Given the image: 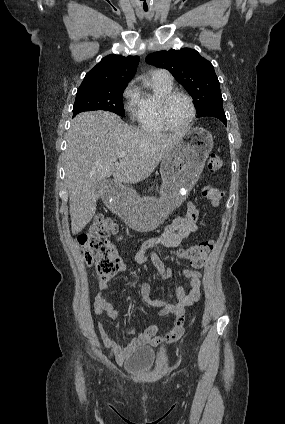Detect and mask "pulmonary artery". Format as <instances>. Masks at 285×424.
<instances>
[{"label":"pulmonary artery","instance_id":"pulmonary-artery-1","mask_svg":"<svg viewBox=\"0 0 285 424\" xmlns=\"http://www.w3.org/2000/svg\"><path fill=\"white\" fill-rule=\"evenodd\" d=\"M153 75L164 81L171 82L172 80L171 74L165 69H156L153 71Z\"/></svg>","mask_w":285,"mask_h":424}]
</instances>
